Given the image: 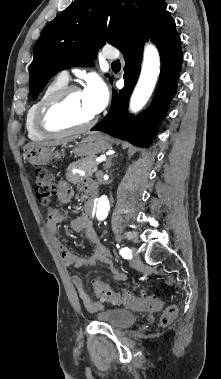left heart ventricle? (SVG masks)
I'll use <instances>...</instances> for the list:
<instances>
[{
  "instance_id": "left-heart-ventricle-1",
  "label": "left heart ventricle",
  "mask_w": 221,
  "mask_h": 379,
  "mask_svg": "<svg viewBox=\"0 0 221 379\" xmlns=\"http://www.w3.org/2000/svg\"><path fill=\"white\" fill-rule=\"evenodd\" d=\"M94 114L86 104L82 92H74L56 110L53 122L59 125L76 126L90 120Z\"/></svg>"
}]
</instances>
